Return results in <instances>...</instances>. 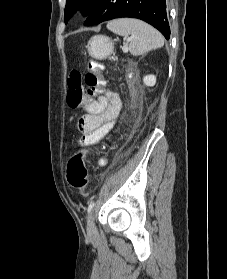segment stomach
I'll use <instances>...</instances> for the list:
<instances>
[{
  "instance_id": "obj_1",
  "label": "stomach",
  "mask_w": 227,
  "mask_h": 279,
  "mask_svg": "<svg viewBox=\"0 0 227 279\" xmlns=\"http://www.w3.org/2000/svg\"><path fill=\"white\" fill-rule=\"evenodd\" d=\"M87 50L91 57L103 60L113 53L114 41L109 37L96 35L89 40Z\"/></svg>"
}]
</instances>
